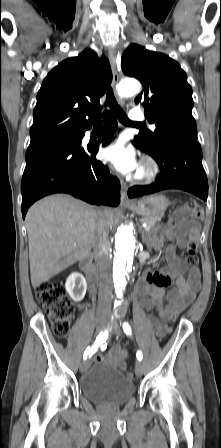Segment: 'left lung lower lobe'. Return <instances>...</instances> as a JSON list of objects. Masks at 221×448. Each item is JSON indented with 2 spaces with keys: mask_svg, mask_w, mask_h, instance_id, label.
I'll use <instances>...</instances> for the list:
<instances>
[{
  "mask_svg": "<svg viewBox=\"0 0 221 448\" xmlns=\"http://www.w3.org/2000/svg\"><path fill=\"white\" fill-rule=\"evenodd\" d=\"M148 154L158 163L160 174L151 185L130 188L129 198L165 189H182L207 200L208 181L202 166L200 145L166 144L155 153Z\"/></svg>",
  "mask_w": 221,
  "mask_h": 448,
  "instance_id": "left-lung-lower-lobe-1",
  "label": "left lung lower lobe"
}]
</instances>
